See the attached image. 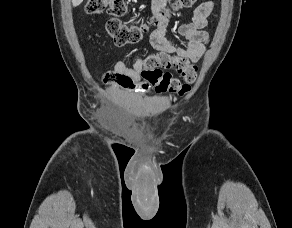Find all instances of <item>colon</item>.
<instances>
[{
	"label": "colon",
	"mask_w": 292,
	"mask_h": 228,
	"mask_svg": "<svg viewBox=\"0 0 292 228\" xmlns=\"http://www.w3.org/2000/svg\"><path fill=\"white\" fill-rule=\"evenodd\" d=\"M197 0H174L173 8L183 9L191 7ZM127 4L125 0H87L85 11L87 14L108 13L112 17L106 23V30L114 43L118 46L136 44L142 40L149 25H158L160 17L154 15L149 22L134 25L123 23L119 17L125 14ZM169 10L163 8L161 16H168ZM159 67L175 68L181 75V80L163 73ZM196 68L187 65L181 60L166 55H152L146 58L145 68L141 72V80L135 81L131 77L119 72H107L103 76V82L116 83L119 86L147 92L151 89L157 91H169L183 95L190 91L191 85L196 79Z\"/></svg>",
	"instance_id": "1"
}]
</instances>
